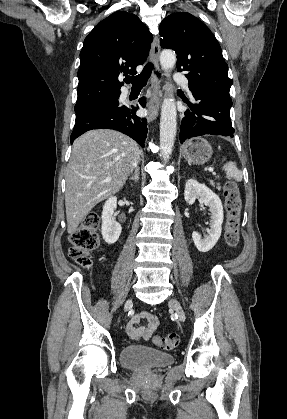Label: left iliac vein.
<instances>
[{
	"label": "left iliac vein",
	"instance_id": "left-iliac-vein-1",
	"mask_svg": "<svg viewBox=\"0 0 287 419\" xmlns=\"http://www.w3.org/2000/svg\"><path fill=\"white\" fill-rule=\"evenodd\" d=\"M169 305H170V307H172L175 310V312L178 314L180 319H184V317H185L184 312L182 310V307H181L180 303L176 299H172L169 302Z\"/></svg>",
	"mask_w": 287,
	"mask_h": 419
}]
</instances>
